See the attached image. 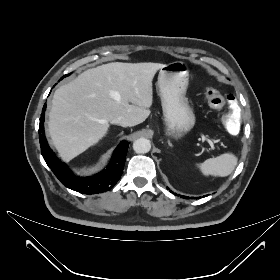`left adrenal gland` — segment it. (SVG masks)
Returning <instances> with one entry per match:
<instances>
[{
	"label": "left adrenal gland",
	"mask_w": 280,
	"mask_h": 280,
	"mask_svg": "<svg viewBox=\"0 0 280 280\" xmlns=\"http://www.w3.org/2000/svg\"><path fill=\"white\" fill-rule=\"evenodd\" d=\"M168 144H169L170 147H172V144L170 143V141H168Z\"/></svg>",
	"instance_id": "1"
}]
</instances>
